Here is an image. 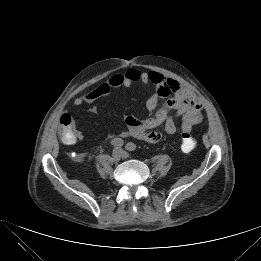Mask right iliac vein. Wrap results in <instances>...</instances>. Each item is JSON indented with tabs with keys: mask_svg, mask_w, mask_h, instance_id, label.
<instances>
[{
	"mask_svg": "<svg viewBox=\"0 0 261 261\" xmlns=\"http://www.w3.org/2000/svg\"><path fill=\"white\" fill-rule=\"evenodd\" d=\"M122 155H123L122 150L119 149V148H116V149H114L113 152H112L111 160H112L113 162H118V161L121 159Z\"/></svg>",
	"mask_w": 261,
	"mask_h": 261,
	"instance_id": "right-iliac-vein-1",
	"label": "right iliac vein"
}]
</instances>
